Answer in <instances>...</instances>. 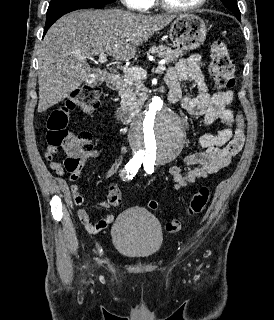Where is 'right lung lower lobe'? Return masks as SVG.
I'll return each instance as SVG.
<instances>
[{
    "label": "right lung lower lobe",
    "mask_w": 274,
    "mask_h": 320,
    "mask_svg": "<svg viewBox=\"0 0 274 320\" xmlns=\"http://www.w3.org/2000/svg\"><path fill=\"white\" fill-rule=\"evenodd\" d=\"M106 4H95V5H88V6H79V7H72V8H67L58 12H55L51 15H47L46 17V23H45V28H44V35L46 34L47 30L50 28V26L57 20L59 19L61 16H63L64 14H67L69 12H72L74 10H78V9H87V8H103Z\"/></svg>",
    "instance_id": "1"
}]
</instances>
